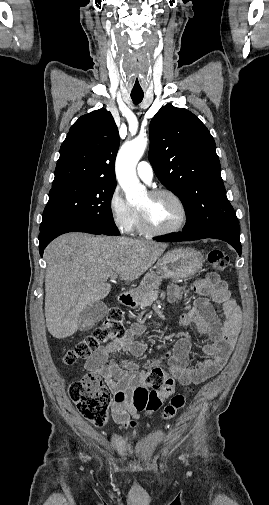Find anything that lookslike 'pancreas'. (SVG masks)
<instances>
[{"label": "pancreas", "instance_id": "obj_1", "mask_svg": "<svg viewBox=\"0 0 269 505\" xmlns=\"http://www.w3.org/2000/svg\"><path fill=\"white\" fill-rule=\"evenodd\" d=\"M159 293L158 287L152 288L143 292L141 296L140 306L147 307L152 303V296H157Z\"/></svg>", "mask_w": 269, "mask_h": 505}]
</instances>
